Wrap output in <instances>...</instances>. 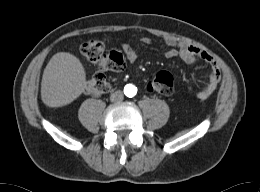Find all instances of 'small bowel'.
<instances>
[{"label": "small bowel", "instance_id": "1", "mask_svg": "<svg viewBox=\"0 0 260 192\" xmlns=\"http://www.w3.org/2000/svg\"><path fill=\"white\" fill-rule=\"evenodd\" d=\"M141 43L150 45L152 40L149 37H142ZM165 45L168 50L165 57L168 59L180 58L188 65H194L198 60L205 62L209 67V75L204 86L196 93L198 99H207L217 88L221 79V71L216 60L206 51L186 43L177 42L173 39H166ZM121 49L130 63L138 59V52L128 43L121 45Z\"/></svg>", "mask_w": 260, "mask_h": 192}]
</instances>
